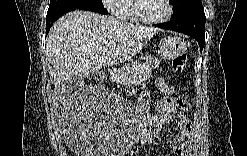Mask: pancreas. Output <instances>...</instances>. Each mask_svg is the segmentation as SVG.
I'll list each match as a JSON object with an SVG mask.
<instances>
[{"label": "pancreas", "mask_w": 247, "mask_h": 156, "mask_svg": "<svg viewBox=\"0 0 247 156\" xmlns=\"http://www.w3.org/2000/svg\"><path fill=\"white\" fill-rule=\"evenodd\" d=\"M152 68L145 62H135L112 73L111 80L130 87L146 81L151 76Z\"/></svg>", "instance_id": "pancreas-1"}]
</instances>
